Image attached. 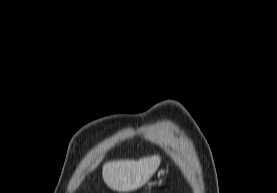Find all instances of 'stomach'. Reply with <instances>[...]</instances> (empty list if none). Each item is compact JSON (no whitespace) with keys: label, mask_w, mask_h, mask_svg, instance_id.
Segmentation results:
<instances>
[{"label":"stomach","mask_w":277,"mask_h":193,"mask_svg":"<svg viewBox=\"0 0 277 193\" xmlns=\"http://www.w3.org/2000/svg\"><path fill=\"white\" fill-rule=\"evenodd\" d=\"M162 182H163V179H160L159 182H158V184H162Z\"/></svg>","instance_id":"1"}]
</instances>
